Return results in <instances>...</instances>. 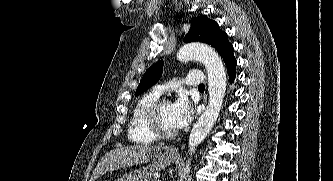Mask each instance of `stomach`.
Returning a JSON list of instances; mask_svg holds the SVG:
<instances>
[{"mask_svg": "<svg viewBox=\"0 0 333 181\" xmlns=\"http://www.w3.org/2000/svg\"><path fill=\"white\" fill-rule=\"evenodd\" d=\"M176 157V155L169 154L168 152L162 153L161 151H156L153 153V162L151 164L132 170L117 181H150L155 172L172 164Z\"/></svg>", "mask_w": 333, "mask_h": 181, "instance_id": "obj_1", "label": "stomach"}]
</instances>
